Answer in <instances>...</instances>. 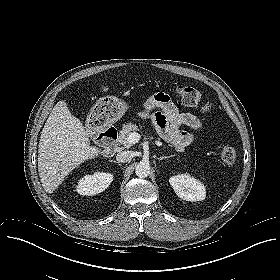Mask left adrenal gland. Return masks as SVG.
<instances>
[{
  "mask_svg": "<svg viewBox=\"0 0 280 280\" xmlns=\"http://www.w3.org/2000/svg\"><path fill=\"white\" fill-rule=\"evenodd\" d=\"M170 157H173V155H171V156H160L157 159L158 160H163V159H167V158H170Z\"/></svg>",
  "mask_w": 280,
  "mask_h": 280,
  "instance_id": "a2214340",
  "label": "left adrenal gland"
}]
</instances>
